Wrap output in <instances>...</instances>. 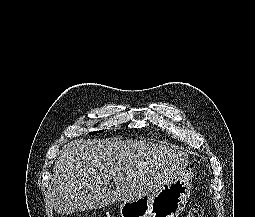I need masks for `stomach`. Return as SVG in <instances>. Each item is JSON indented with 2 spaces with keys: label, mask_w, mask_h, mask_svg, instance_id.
<instances>
[{
  "label": "stomach",
  "mask_w": 255,
  "mask_h": 217,
  "mask_svg": "<svg viewBox=\"0 0 255 217\" xmlns=\"http://www.w3.org/2000/svg\"><path fill=\"white\" fill-rule=\"evenodd\" d=\"M192 174L182 171L149 196L123 202L121 217H179L190 196Z\"/></svg>",
  "instance_id": "0dacf381"
}]
</instances>
